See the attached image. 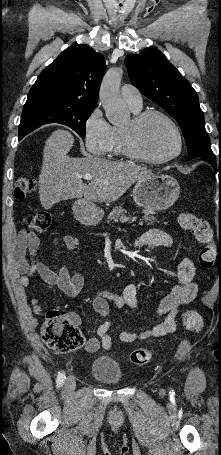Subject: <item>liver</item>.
Instances as JSON below:
<instances>
[{
    "label": "liver",
    "instance_id": "obj_1",
    "mask_svg": "<svg viewBox=\"0 0 221 455\" xmlns=\"http://www.w3.org/2000/svg\"><path fill=\"white\" fill-rule=\"evenodd\" d=\"M73 144V135L64 129L54 131L45 142L39 198L46 210L60 201L83 196L91 203L113 202L136 181L153 175L151 170L127 162L69 157ZM85 174L92 175L88 185L79 177Z\"/></svg>",
    "mask_w": 221,
    "mask_h": 455
}]
</instances>
